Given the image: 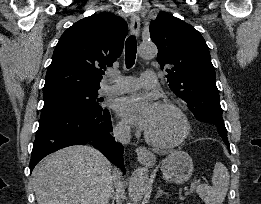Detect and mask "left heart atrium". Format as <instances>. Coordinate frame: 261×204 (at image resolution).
Wrapping results in <instances>:
<instances>
[{
  "instance_id": "39dd6f15",
  "label": "left heart atrium",
  "mask_w": 261,
  "mask_h": 204,
  "mask_svg": "<svg viewBox=\"0 0 261 204\" xmlns=\"http://www.w3.org/2000/svg\"><path fill=\"white\" fill-rule=\"evenodd\" d=\"M154 110V104L144 95L122 97L116 105L119 116L143 130L150 126Z\"/></svg>"
}]
</instances>
